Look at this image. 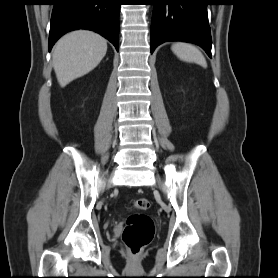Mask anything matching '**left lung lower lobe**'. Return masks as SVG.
<instances>
[{
  "mask_svg": "<svg viewBox=\"0 0 278 278\" xmlns=\"http://www.w3.org/2000/svg\"><path fill=\"white\" fill-rule=\"evenodd\" d=\"M151 53L167 41H186L202 47L211 58L208 0H152Z\"/></svg>",
  "mask_w": 278,
  "mask_h": 278,
  "instance_id": "obj_1",
  "label": "left lung lower lobe"
}]
</instances>
